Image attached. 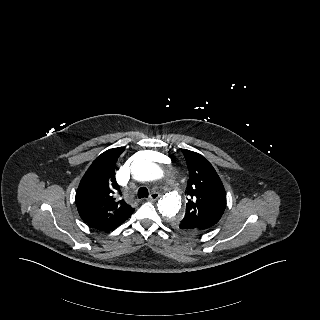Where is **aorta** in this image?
Instances as JSON below:
<instances>
[{
	"label": "aorta",
	"instance_id": "762f6f07",
	"mask_svg": "<svg viewBox=\"0 0 320 320\" xmlns=\"http://www.w3.org/2000/svg\"><path fill=\"white\" fill-rule=\"evenodd\" d=\"M158 155L155 151H149L144 158L133 162L131 172L138 181H155L164 176L163 169L155 163ZM159 212L169 220L179 219L178 212L181 208V199L176 192L163 196L158 202Z\"/></svg>",
	"mask_w": 320,
	"mask_h": 320
}]
</instances>
